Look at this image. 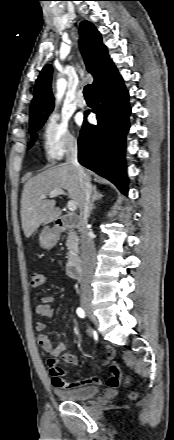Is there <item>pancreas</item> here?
<instances>
[{
  "instance_id": "obj_1",
  "label": "pancreas",
  "mask_w": 174,
  "mask_h": 440,
  "mask_svg": "<svg viewBox=\"0 0 174 440\" xmlns=\"http://www.w3.org/2000/svg\"><path fill=\"white\" fill-rule=\"evenodd\" d=\"M78 243L79 239L76 232L73 229L69 230L66 246L69 251L68 257L70 259L77 257V254L79 252Z\"/></svg>"
}]
</instances>
